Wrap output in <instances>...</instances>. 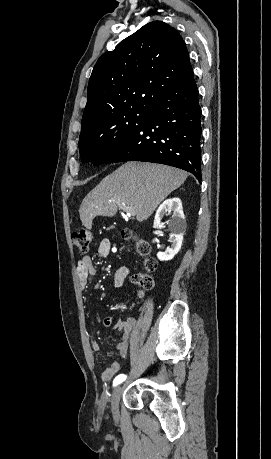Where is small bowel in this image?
<instances>
[{"instance_id": "1", "label": "small bowel", "mask_w": 271, "mask_h": 459, "mask_svg": "<svg viewBox=\"0 0 271 459\" xmlns=\"http://www.w3.org/2000/svg\"><path fill=\"white\" fill-rule=\"evenodd\" d=\"M111 252V243L108 239H102L97 247V254L101 257H106ZM77 275L79 279L80 286L85 289L88 283V280L91 276L96 274V269L93 265L92 258L88 255L82 256L76 266ZM129 270L127 267L119 268L113 279V285L115 288H119L123 285ZM113 322L112 316H107L103 320L104 327H110ZM135 326L134 318H127L126 320H121L118 323V330L122 333L119 342L116 344V349L121 355V357H127L129 354V347L131 344L132 331ZM90 347L93 351L97 352L100 350V343L96 339H92L90 342ZM121 370V364L118 360H114L103 372L102 379L104 382H109L115 377Z\"/></svg>"}]
</instances>
